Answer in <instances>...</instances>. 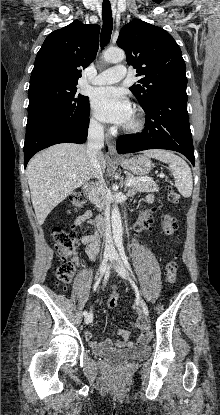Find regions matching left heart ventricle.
Returning <instances> with one entry per match:
<instances>
[{"label":"left heart ventricle","mask_w":220,"mask_h":415,"mask_svg":"<svg viewBox=\"0 0 220 415\" xmlns=\"http://www.w3.org/2000/svg\"><path fill=\"white\" fill-rule=\"evenodd\" d=\"M132 119H133V116L130 118V120L128 121V123H130L132 121Z\"/></svg>","instance_id":"b2bd125f"}]
</instances>
